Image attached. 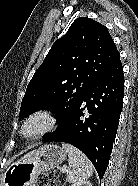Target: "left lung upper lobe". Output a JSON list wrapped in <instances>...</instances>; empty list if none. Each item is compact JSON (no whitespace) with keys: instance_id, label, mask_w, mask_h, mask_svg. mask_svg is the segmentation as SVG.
Wrapping results in <instances>:
<instances>
[{"instance_id":"obj_1","label":"left lung upper lobe","mask_w":138,"mask_h":186,"mask_svg":"<svg viewBox=\"0 0 138 186\" xmlns=\"http://www.w3.org/2000/svg\"><path fill=\"white\" fill-rule=\"evenodd\" d=\"M119 60V52L104 25L87 17L76 19L52 45L29 82L19 117L49 110L60 115L57 131L94 83Z\"/></svg>"}]
</instances>
